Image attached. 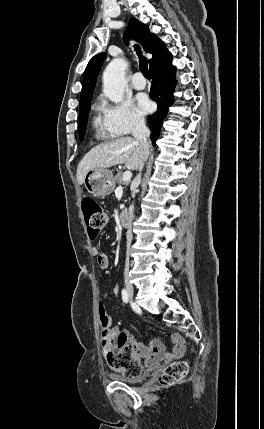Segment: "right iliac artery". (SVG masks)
Instances as JSON below:
<instances>
[{"label":"right iliac artery","instance_id":"82829eb1","mask_svg":"<svg viewBox=\"0 0 264 429\" xmlns=\"http://www.w3.org/2000/svg\"><path fill=\"white\" fill-rule=\"evenodd\" d=\"M122 300L124 303H128L129 301V294L125 289L122 290Z\"/></svg>","mask_w":264,"mask_h":429}]
</instances>
